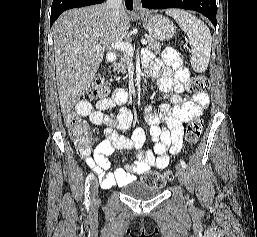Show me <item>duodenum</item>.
I'll return each mask as SVG.
<instances>
[{
  "mask_svg": "<svg viewBox=\"0 0 257 237\" xmlns=\"http://www.w3.org/2000/svg\"><path fill=\"white\" fill-rule=\"evenodd\" d=\"M107 58L110 62H115L116 54L114 52H109ZM114 96L119 100H124L125 98H127L128 93L122 88H116L114 90Z\"/></svg>",
  "mask_w": 257,
  "mask_h": 237,
  "instance_id": "obj_1",
  "label": "duodenum"
}]
</instances>
